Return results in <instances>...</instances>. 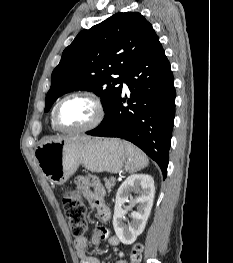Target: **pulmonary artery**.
Returning a JSON list of instances; mask_svg holds the SVG:
<instances>
[{
    "label": "pulmonary artery",
    "instance_id": "pulmonary-artery-1",
    "mask_svg": "<svg viewBox=\"0 0 233 263\" xmlns=\"http://www.w3.org/2000/svg\"><path fill=\"white\" fill-rule=\"evenodd\" d=\"M122 86L124 91H128V86L124 81L122 82Z\"/></svg>",
    "mask_w": 233,
    "mask_h": 263
}]
</instances>
